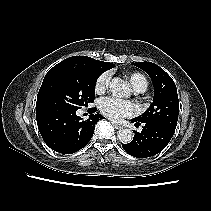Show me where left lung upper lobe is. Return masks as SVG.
<instances>
[{
  "instance_id": "5c2ea615",
  "label": "left lung upper lobe",
  "mask_w": 211,
  "mask_h": 211,
  "mask_svg": "<svg viewBox=\"0 0 211 211\" xmlns=\"http://www.w3.org/2000/svg\"><path fill=\"white\" fill-rule=\"evenodd\" d=\"M132 64L144 70L154 85L153 102L142 115L134 120L155 123L175 132L179 115V100L174 81L162 68L152 62Z\"/></svg>"
}]
</instances>
